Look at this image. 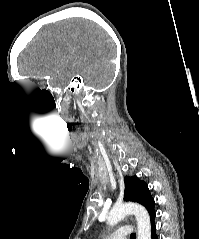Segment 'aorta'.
<instances>
[{"instance_id": "obj_1", "label": "aorta", "mask_w": 199, "mask_h": 239, "mask_svg": "<svg viewBox=\"0 0 199 239\" xmlns=\"http://www.w3.org/2000/svg\"><path fill=\"white\" fill-rule=\"evenodd\" d=\"M130 214H133L136 217L138 228L137 239H151V225L149 214L147 210L139 204H115L107 217V224L109 226H115Z\"/></svg>"}]
</instances>
